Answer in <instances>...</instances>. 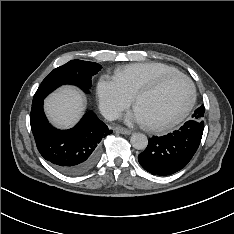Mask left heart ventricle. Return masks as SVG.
Returning a JSON list of instances; mask_svg holds the SVG:
<instances>
[{"instance_id": "1", "label": "left heart ventricle", "mask_w": 234, "mask_h": 234, "mask_svg": "<svg viewBox=\"0 0 234 234\" xmlns=\"http://www.w3.org/2000/svg\"><path fill=\"white\" fill-rule=\"evenodd\" d=\"M190 99V87L181 78H173L155 92L142 97L136 108L148 124H159L178 116Z\"/></svg>"}]
</instances>
